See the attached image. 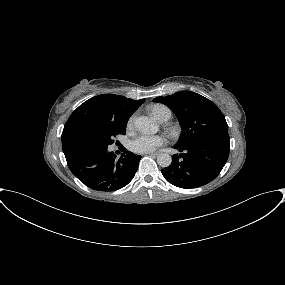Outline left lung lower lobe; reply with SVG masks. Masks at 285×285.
I'll return each mask as SVG.
<instances>
[{
	"label": "left lung lower lobe",
	"mask_w": 285,
	"mask_h": 285,
	"mask_svg": "<svg viewBox=\"0 0 285 285\" xmlns=\"http://www.w3.org/2000/svg\"><path fill=\"white\" fill-rule=\"evenodd\" d=\"M174 148L184 153L175 154L171 165L161 172L171 184L190 189L203 186L219 175L228 159L230 144L202 141Z\"/></svg>",
	"instance_id": "0a47b994"
}]
</instances>
